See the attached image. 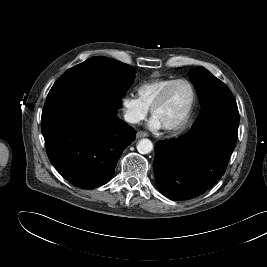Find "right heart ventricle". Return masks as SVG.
Listing matches in <instances>:
<instances>
[{"label": "right heart ventricle", "mask_w": 267, "mask_h": 267, "mask_svg": "<svg viewBox=\"0 0 267 267\" xmlns=\"http://www.w3.org/2000/svg\"><path fill=\"white\" fill-rule=\"evenodd\" d=\"M175 79H153L141 84L138 88V95L143 102L150 107L159 92Z\"/></svg>", "instance_id": "1"}]
</instances>
